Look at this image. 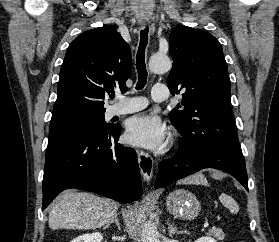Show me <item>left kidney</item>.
<instances>
[{"label":"left kidney","mask_w":279,"mask_h":242,"mask_svg":"<svg viewBox=\"0 0 279 242\" xmlns=\"http://www.w3.org/2000/svg\"><path fill=\"white\" fill-rule=\"evenodd\" d=\"M195 242H217V240H215L212 237H201L197 239Z\"/></svg>","instance_id":"5707ae66"}]
</instances>
